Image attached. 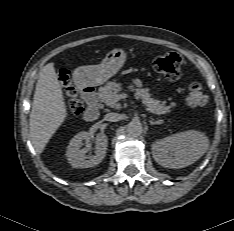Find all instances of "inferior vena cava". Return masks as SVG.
Listing matches in <instances>:
<instances>
[{"label": "inferior vena cava", "mask_w": 234, "mask_h": 231, "mask_svg": "<svg viewBox=\"0 0 234 231\" xmlns=\"http://www.w3.org/2000/svg\"><path fill=\"white\" fill-rule=\"evenodd\" d=\"M104 118L106 121L117 122L121 119V115L118 113L111 112L107 113Z\"/></svg>", "instance_id": "inferior-vena-cava-1"}]
</instances>
